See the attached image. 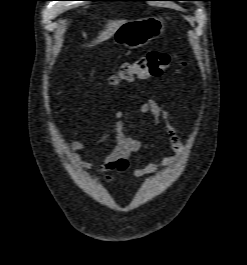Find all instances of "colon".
Here are the masks:
<instances>
[{
  "label": "colon",
  "instance_id": "obj_1",
  "mask_svg": "<svg viewBox=\"0 0 247 265\" xmlns=\"http://www.w3.org/2000/svg\"><path fill=\"white\" fill-rule=\"evenodd\" d=\"M176 58V56L165 52H149L136 60L123 63L118 71L109 78L108 84L116 88L123 82L161 76L172 66ZM179 62L181 65L186 64L183 60Z\"/></svg>",
  "mask_w": 247,
  "mask_h": 265
}]
</instances>
